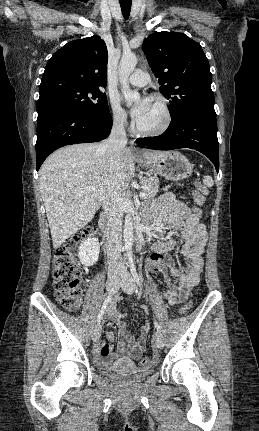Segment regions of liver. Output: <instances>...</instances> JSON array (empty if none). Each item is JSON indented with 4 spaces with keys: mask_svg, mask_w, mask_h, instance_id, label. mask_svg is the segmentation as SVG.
<instances>
[{
    "mask_svg": "<svg viewBox=\"0 0 259 431\" xmlns=\"http://www.w3.org/2000/svg\"><path fill=\"white\" fill-rule=\"evenodd\" d=\"M99 143L63 147L52 153L40 169V193L57 249L67 238L86 226L102 205L108 191L121 188L134 177L135 165L129 149L111 171ZM166 151H143L148 164L156 163ZM89 187L95 190L88 191Z\"/></svg>",
    "mask_w": 259,
    "mask_h": 431,
    "instance_id": "1",
    "label": "liver"
}]
</instances>
